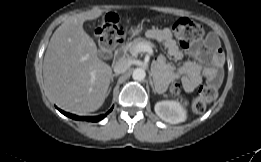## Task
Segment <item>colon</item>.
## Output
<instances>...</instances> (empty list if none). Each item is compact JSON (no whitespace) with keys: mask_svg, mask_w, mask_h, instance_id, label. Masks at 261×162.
<instances>
[{"mask_svg":"<svg viewBox=\"0 0 261 162\" xmlns=\"http://www.w3.org/2000/svg\"><path fill=\"white\" fill-rule=\"evenodd\" d=\"M172 32L182 46H187L191 41L201 38L203 28L188 18H178L172 26ZM123 28L116 14H108L97 26L96 36L98 38L99 53L101 57L108 59L113 54L115 45L122 40ZM181 92L180 85L173 83L169 94L178 97ZM216 97V86L207 84L200 88L199 94L192 101V109L195 113H203L206 105Z\"/></svg>","mask_w":261,"mask_h":162,"instance_id":"obj_1","label":"colon"}]
</instances>
